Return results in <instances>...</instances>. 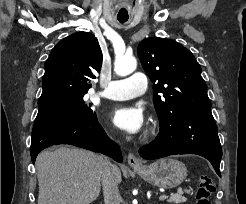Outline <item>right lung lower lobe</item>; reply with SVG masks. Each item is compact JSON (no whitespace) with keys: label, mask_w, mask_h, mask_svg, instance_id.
<instances>
[{"label":"right lung lower lobe","mask_w":246,"mask_h":204,"mask_svg":"<svg viewBox=\"0 0 246 204\" xmlns=\"http://www.w3.org/2000/svg\"><path fill=\"white\" fill-rule=\"evenodd\" d=\"M57 144L82 147L122 162L120 148L107 138L95 114L82 118L56 110H39L32 130L30 154L33 163L41 150Z\"/></svg>","instance_id":"98d812e1"}]
</instances>
